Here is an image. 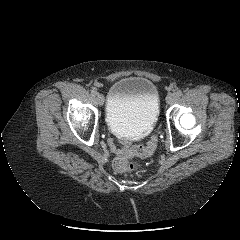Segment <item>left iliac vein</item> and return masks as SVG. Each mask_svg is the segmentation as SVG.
Instances as JSON below:
<instances>
[{
  "label": "left iliac vein",
  "instance_id": "obj_1",
  "mask_svg": "<svg viewBox=\"0 0 240 240\" xmlns=\"http://www.w3.org/2000/svg\"><path fill=\"white\" fill-rule=\"evenodd\" d=\"M176 94L175 93H169L166 97V102L170 105V104H173L176 100Z\"/></svg>",
  "mask_w": 240,
  "mask_h": 240
}]
</instances>
